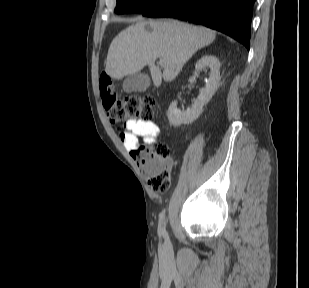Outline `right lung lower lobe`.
Here are the masks:
<instances>
[{
    "mask_svg": "<svg viewBox=\"0 0 309 288\" xmlns=\"http://www.w3.org/2000/svg\"><path fill=\"white\" fill-rule=\"evenodd\" d=\"M255 0H163L144 11L147 17H172L205 25L239 41L249 50Z\"/></svg>",
    "mask_w": 309,
    "mask_h": 288,
    "instance_id": "1",
    "label": "right lung lower lobe"
}]
</instances>
